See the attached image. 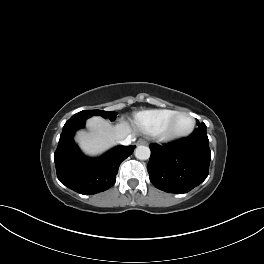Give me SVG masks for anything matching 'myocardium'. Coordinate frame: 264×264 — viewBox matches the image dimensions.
<instances>
[{
	"mask_svg": "<svg viewBox=\"0 0 264 264\" xmlns=\"http://www.w3.org/2000/svg\"><path fill=\"white\" fill-rule=\"evenodd\" d=\"M181 115H186L190 119L191 122L190 126L188 129L184 131H175L173 129L174 121L178 116ZM194 128H195V119L190 113L186 111H176L168 120V122L163 127V129L158 133V136L160 140L164 142H173L188 137L194 131Z\"/></svg>",
	"mask_w": 264,
	"mask_h": 264,
	"instance_id": "obj_1",
	"label": "myocardium"
}]
</instances>
